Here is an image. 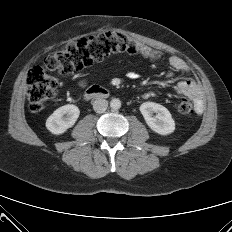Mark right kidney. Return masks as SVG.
<instances>
[{
    "mask_svg": "<svg viewBox=\"0 0 232 232\" xmlns=\"http://www.w3.org/2000/svg\"><path fill=\"white\" fill-rule=\"evenodd\" d=\"M80 110L73 104H67L56 109L46 120V128L53 134H63L77 121Z\"/></svg>",
    "mask_w": 232,
    "mask_h": 232,
    "instance_id": "right-kidney-1",
    "label": "right kidney"
}]
</instances>
